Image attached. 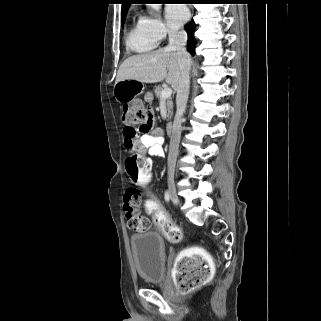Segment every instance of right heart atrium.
Here are the masks:
<instances>
[{"label": "right heart atrium", "mask_w": 321, "mask_h": 321, "mask_svg": "<svg viewBox=\"0 0 321 321\" xmlns=\"http://www.w3.org/2000/svg\"><path fill=\"white\" fill-rule=\"evenodd\" d=\"M141 22L146 31L157 41H161L174 33L160 17L145 16L141 18Z\"/></svg>", "instance_id": "obj_1"}]
</instances>
